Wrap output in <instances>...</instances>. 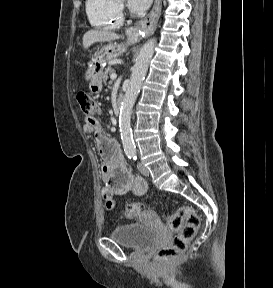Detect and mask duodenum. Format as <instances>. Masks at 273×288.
<instances>
[{
  "instance_id": "1",
  "label": "duodenum",
  "mask_w": 273,
  "mask_h": 288,
  "mask_svg": "<svg viewBox=\"0 0 273 288\" xmlns=\"http://www.w3.org/2000/svg\"><path fill=\"white\" fill-rule=\"evenodd\" d=\"M124 103H125L124 96L122 94H119L118 98H117V106H118V108L123 107Z\"/></svg>"
}]
</instances>
